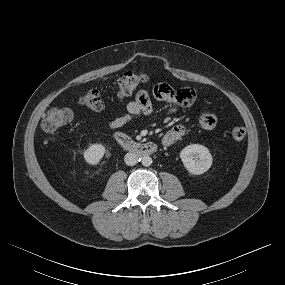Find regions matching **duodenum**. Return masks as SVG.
I'll list each match as a JSON object with an SVG mask.
<instances>
[{"label": "duodenum", "mask_w": 285, "mask_h": 285, "mask_svg": "<svg viewBox=\"0 0 285 285\" xmlns=\"http://www.w3.org/2000/svg\"><path fill=\"white\" fill-rule=\"evenodd\" d=\"M114 139L117 143L125 150L130 151L134 154L147 156L157 151V145L152 142L140 143L132 140L126 134L122 132H115Z\"/></svg>", "instance_id": "1"}]
</instances>
